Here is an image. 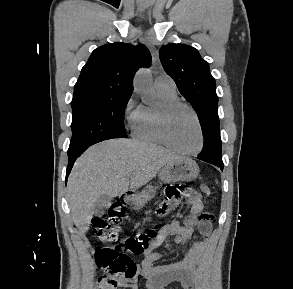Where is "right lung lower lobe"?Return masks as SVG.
<instances>
[{
	"instance_id": "obj_1",
	"label": "right lung lower lobe",
	"mask_w": 293,
	"mask_h": 289,
	"mask_svg": "<svg viewBox=\"0 0 293 289\" xmlns=\"http://www.w3.org/2000/svg\"><path fill=\"white\" fill-rule=\"evenodd\" d=\"M107 139H113V138H106L104 140H107ZM93 144H95V143L85 144V145H82V146L77 147V148H69V150H68V160H69V162H68V167H67V172H66V181H67L68 175H69V173H70V171H71V169L73 167V164H74L75 160L78 158V156L81 153H83L88 147H90Z\"/></svg>"
}]
</instances>
